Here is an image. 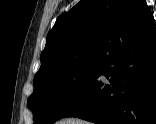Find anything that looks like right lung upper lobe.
<instances>
[{
  "label": "right lung upper lobe",
  "mask_w": 156,
  "mask_h": 124,
  "mask_svg": "<svg viewBox=\"0 0 156 124\" xmlns=\"http://www.w3.org/2000/svg\"><path fill=\"white\" fill-rule=\"evenodd\" d=\"M154 26L145 0H81L56 20L34 78L63 66L102 60L134 30Z\"/></svg>",
  "instance_id": "1"
}]
</instances>
